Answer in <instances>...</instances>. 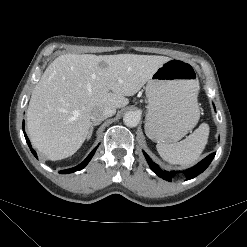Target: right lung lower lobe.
<instances>
[{"instance_id":"right-lung-lower-lobe-1","label":"right lung lower lobe","mask_w":247,"mask_h":247,"mask_svg":"<svg viewBox=\"0 0 247 247\" xmlns=\"http://www.w3.org/2000/svg\"><path fill=\"white\" fill-rule=\"evenodd\" d=\"M24 126V124H23ZM24 135H25V138H26V141L31 149V152L34 154V156L37 158V155H36V152L31 148V144L29 142V139L28 137L26 136L25 132H24ZM97 147L89 154V156L81 163L79 164L78 166L74 167V168H70V169H67V170H61L59 171V173L61 174H67V173H72V172H75V171H79L81 169H83L88 163L89 161L91 160L92 156L94 155L95 151H96Z\"/></svg>"}]
</instances>
